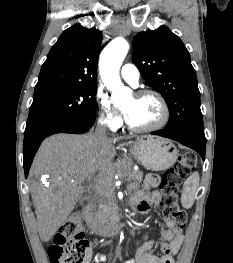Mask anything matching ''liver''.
Masks as SVG:
<instances>
[{
  "mask_svg": "<svg viewBox=\"0 0 233 263\" xmlns=\"http://www.w3.org/2000/svg\"><path fill=\"white\" fill-rule=\"evenodd\" d=\"M124 139L99 143L91 133L55 134L46 138L33 161L30 174L35 180L30 193L35 207L40 239L49 241L81 198V180H103L116 155L114 144ZM47 176L48 185L40 180Z\"/></svg>",
  "mask_w": 233,
  "mask_h": 263,
  "instance_id": "obj_1",
  "label": "liver"
}]
</instances>
